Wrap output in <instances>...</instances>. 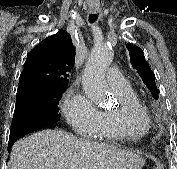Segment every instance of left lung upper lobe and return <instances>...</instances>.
Masks as SVG:
<instances>
[{
  "label": "left lung upper lobe",
  "mask_w": 177,
  "mask_h": 169,
  "mask_svg": "<svg viewBox=\"0 0 177 169\" xmlns=\"http://www.w3.org/2000/svg\"><path fill=\"white\" fill-rule=\"evenodd\" d=\"M126 47L129 51L133 68L137 70L144 84L151 90L154 97L158 99L159 90L157 89L155 83V75L145 61L143 51L139 47L129 43L126 45Z\"/></svg>",
  "instance_id": "1"
}]
</instances>
